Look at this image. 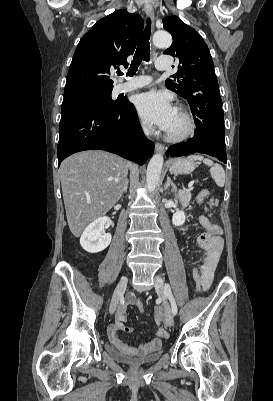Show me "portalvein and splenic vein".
<instances>
[{
    "label": "portal vein and splenic vein",
    "mask_w": 273,
    "mask_h": 401,
    "mask_svg": "<svg viewBox=\"0 0 273 401\" xmlns=\"http://www.w3.org/2000/svg\"><path fill=\"white\" fill-rule=\"evenodd\" d=\"M191 182H192V184H196V181H194V180H191ZM191 182H189V188H191V186H192Z\"/></svg>",
    "instance_id": "portal-vein-and-splenic-vein-1"
}]
</instances>
